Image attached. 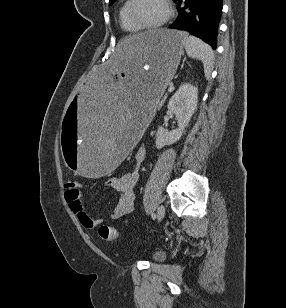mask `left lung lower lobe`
<instances>
[{"mask_svg":"<svg viewBox=\"0 0 286 308\" xmlns=\"http://www.w3.org/2000/svg\"><path fill=\"white\" fill-rule=\"evenodd\" d=\"M173 1L178 2L179 14L168 28L188 31L216 49L222 0H185L184 7L182 0Z\"/></svg>","mask_w":286,"mask_h":308,"instance_id":"left-lung-lower-lobe-1","label":"left lung lower lobe"}]
</instances>
